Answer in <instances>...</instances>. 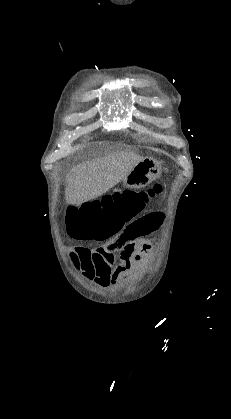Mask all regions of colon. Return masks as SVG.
Listing matches in <instances>:
<instances>
[{"mask_svg":"<svg viewBox=\"0 0 231 419\" xmlns=\"http://www.w3.org/2000/svg\"><path fill=\"white\" fill-rule=\"evenodd\" d=\"M160 191V185L146 191L124 190L80 208L70 207L67 211L68 228L90 240L107 241L123 231L142 212L149 198Z\"/></svg>","mask_w":231,"mask_h":419,"instance_id":"1","label":"colon"}]
</instances>
